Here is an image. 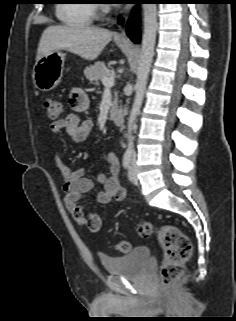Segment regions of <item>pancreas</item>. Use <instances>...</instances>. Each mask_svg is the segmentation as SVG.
<instances>
[{"label":"pancreas","mask_w":236,"mask_h":321,"mask_svg":"<svg viewBox=\"0 0 236 321\" xmlns=\"http://www.w3.org/2000/svg\"><path fill=\"white\" fill-rule=\"evenodd\" d=\"M86 78L90 81L91 84L99 85L98 81L104 78L111 76V71L106 67L104 63L97 62L94 65L87 67L84 71ZM118 107L117 102V92H114V100L111 105V113Z\"/></svg>","instance_id":"1"}]
</instances>
